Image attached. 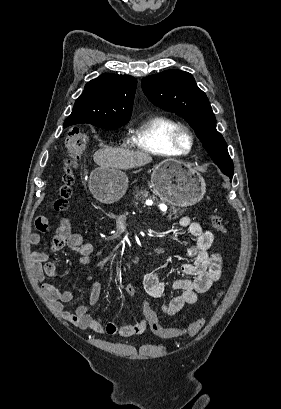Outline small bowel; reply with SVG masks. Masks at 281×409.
Segmentation results:
<instances>
[{
  "mask_svg": "<svg viewBox=\"0 0 281 409\" xmlns=\"http://www.w3.org/2000/svg\"><path fill=\"white\" fill-rule=\"evenodd\" d=\"M35 220V225L29 226L27 229L29 245L39 244L41 242L40 235H49L50 232V225L45 215H37ZM179 225L186 229L192 237V244L188 249V256L191 261L181 266V271L187 277L178 279L173 284V287L180 293L165 305L164 310L168 316L177 315L185 306L194 304L199 294L208 291L212 284L219 279L223 264L220 253H209L214 240L213 234L209 230L202 228L198 222L191 220L188 216L181 217ZM64 248L78 253L81 256V265L88 264L94 249L93 245L86 242L81 234L72 232L67 218L61 219L47 251L34 250L31 253V258L35 264L36 278L42 284L44 294L54 303L64 320L83 330L130 337L141 334L150 326L153 319H157L155 312L146 302L142 304L144 318L130 325L118 326L114 322L104 323L100 317L93 316L90 309L98 303L102 290L99 281L92 283L86 304L79 305L74 312L67 310L66 305L73 300L75 292L60 290L50 282L45 281L46 277L53 278L58 274L57 264L49 261L50 254L59 252ZM142 285L152 297H161L165 292V284L155 270L144 276ZM124 290L129 296L136 294V287L132 284H127Z\"/></svg>",
  "mask_w": 281,
  "mask_h": 409,
  "instance_id": "obj_1",
  "label": "small bowel"
}]
</instances>
